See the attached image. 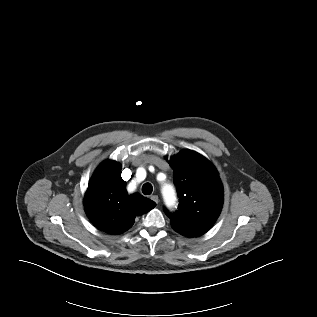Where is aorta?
Returning a JSON list of instances; mask_svg holds the SVG:
<instances>
[{
    "mask_svg": "<svg viewBox=\"0 0 317 317\" xmlns=\"http://www.w3.org/2000/svg\"><path fill=\"white\" fill-rule=\"evenodd\" d=\"M163 196L164 199L167 203V205L172 206L176 203V195H175V190L173 188L172 185H170L169 183H166L163 188Z\"/></svg>",
    "mask_w": 317,
    "mask_h": 317,
    "instance_id": "aorta-1",
    "label": "aorta"
}]
</instances>
